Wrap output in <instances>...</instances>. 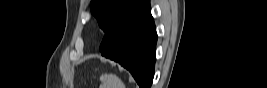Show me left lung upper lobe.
<instances>
[{
	"instance_id": "5c2ea615",
	"label": "left lung upper lobe",
	"mask_w": 267,
	"mask_h": 88,
	"mask_svg": "<svg viewBox=\"0 0 267 88\" xmlns=\"http://www.w3.org/2000/svg\"><path fill=\"white\" fill-rule=\"evenodd\" d=\"M143 0H92L91 12L98 20L100 28L106 33L130 9Z\"/></svg>"
}]
</instances>
